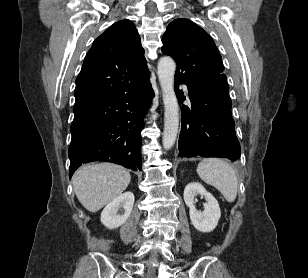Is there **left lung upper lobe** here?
I'll return each mask as SVG.
<instances>
[{
    "label": "left lung upper lobe",
    "instance_id": "obj_1",
    "mask_svg": "<svg viewBox=\"0 0 308 278\" xmlns=\"http://www.w3.org/2000/svg\"><path fill=\"white\" fill-rule=\"evenodd\" d=\"M161 48L177 62L175 78L187 84L224 74L221 55L206 31L187 19H176L166 28Z\"/></svg>",
    "mask_w": 308,
    "mask_h": 278
}]
</instances>
